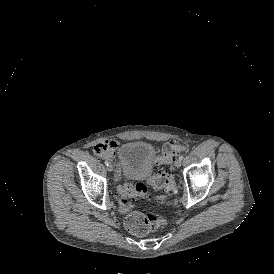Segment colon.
I'll return each instance as SVG.
<instances>
[{
    "label": "colon",
    "mask_w": 274,
    "mask_h": 274,
    "mask_svg": "<svg viewBox=\"0 0 274 274\" xmlns=\"http://www.w3.org/2000/svg\"><path fill=\"white\" fill-rule=\"evenodd\" d=\"M181 147L178 141L171 139L162 146L155 158L154 163L158 167L166 168L170 166L171 156L179 154ZM105 152V151H95ZM148 185L154 189L163 190L167 193H174L176 184L172 172L159 171L154 175L148 183L134 182L127 183L121 187L122 194L128 195L134 193L138 196L145 197L148 192ZM164 224L160 216L152 209H147L143 212H133L126 216L124 220V228L126 231L136 237L145 236L151 232L156 231Z\"/></svg>",
    "instance_id": "obj_1"
}]
</instances>
